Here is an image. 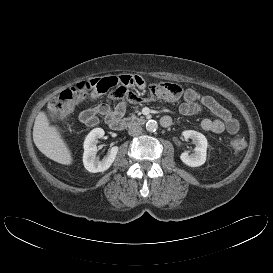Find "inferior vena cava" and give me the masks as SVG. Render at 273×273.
<instances>
[{"mask_svg":"<svg viewBox=\"0 0 273 273\" xmlns=\"http://www.w3.org/2000/svg\"><path fill=\"white\" fill-rule=\"evenodd\" d=\"M141 132H142V127L139 125H131L128 130V133L131 136H138L141 134Z\"/></svg>","mask_w":273,"mask_h":273,"instance_id":"obj_1","label":"inferior vena cava"}]
</instances>
